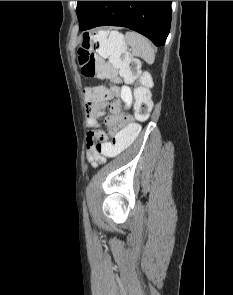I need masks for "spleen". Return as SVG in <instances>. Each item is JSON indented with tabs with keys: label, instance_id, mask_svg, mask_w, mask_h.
Returning a JSON list of instances; mask_svg holds the SVG:
<instances>
[{
	"label": "spleen",
	"instance_id": "obj_1",
	"mask_svg": "<svg viewBox=\"0 0 233 295\" xmlns=\"http://www.w3.org/2000/svg\"><path fill=\"white\" fill-rule=\"evenodd\" d=\"M99 54L109 58L115 67L122 68L125 64L121 55L126 51L127 45L132 48V54L143 58L147 63L152 64L155 59L154 49L151 42L137 32H126L125 36L118 31H111L107 37L105 32L98 36Z\"/></svg>",
	"mask_w": 233,
	"mask_h": 295
}]
</instances>
